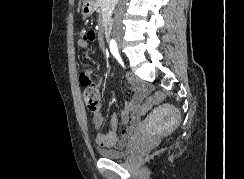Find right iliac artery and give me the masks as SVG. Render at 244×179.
<instances>
[{
	"label": "right iliac artery",
	"instance_id": "82829eb1",
	"mask_svg": "<svg viewBox=\"0 0 244 179\" xmlns=\"http://www.w3.org/2000/svg\"><path fill=\"white\" fill-rule=\"evenodd\" d=\"M110 51L113 54V56L117 60H119L120 56H119L118 47H117V44H116L115 40H111L110 41Z\"/></svg>",
	"mask_w": 244,
	"mask_h": 179
}]
</instances>
